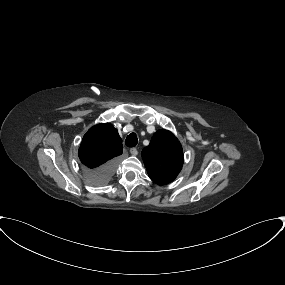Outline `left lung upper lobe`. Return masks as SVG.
I'll list each match as a JSON object with an SVG mask.
<instances>
[{"instance_id":"1","label":"left lung upper lobe","mask_w":285,"mask_h":285,"mask_svg":"<svg viewBox=\"0 0 285 285\" xmlns=\"http://www.w3.org/2000/svg\"><path fill=\"white\" fill-rule=\"evenodd\" d=\"M142 158L150 179L158 185H166L182 169L183 150L178 139L162 129L154 133L150 144L142 150Z\"/></svg>"}]
</instances>
